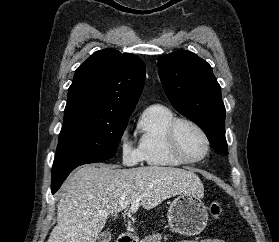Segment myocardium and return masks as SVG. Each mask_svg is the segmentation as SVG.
Here are the masks:
<instances>
[{"mask_svg": "<svg viewBox=\"0 0 279 242\" xmlns=\"http://www.w3.org/2000/svg\"><path fill=\"white\" fill-rule=\"evenodd\" d=\"M181 125H189L193 127L204 139L205 152L201 157L190 158L187 155H185L182 149L180 148L178 141V131ZM167 142L173 155L181 162L186 164H194L204 160L208 156L211 147L209 136L204 130V128L197 122L188 118H176L172 121L167 130Z\"/></svg>", "mask_w": 279, "mask_h": 242, "instance_id": "1", "label": "myocardium"}]
</instances>
